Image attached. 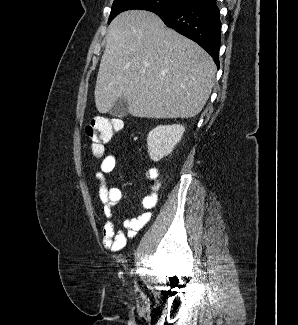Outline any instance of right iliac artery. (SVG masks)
<instances>
[{
  "mask_svg": "<svg viewBox=\"0 0 298 325\" xmlns=\"http://www.w3.org/2000/svg\"><path fill=\"white\" fill-rule=\"evenodd\" d=\"M135 287H136V290H137L138 289L137 285H135Z\"/></svg>",
  "mask_w": 298,
  "mask_h": 325,
  "instance_id": "1",
  "label": "right iliac artery"
}]
</instances>
